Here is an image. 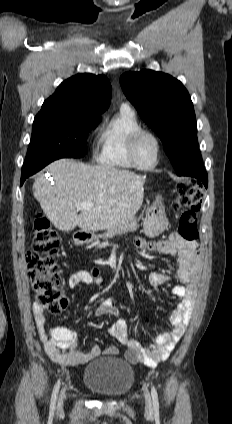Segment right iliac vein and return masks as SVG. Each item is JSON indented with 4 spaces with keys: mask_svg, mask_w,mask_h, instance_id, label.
<instances>
[{
    "mask_svg": "<svg viewBox=\"0 0 232 424\" xmlns=\"http://www.w3.org/2000/svg\"><path fill=\"white\" fill-rule=\"evenodd\" d=\"M66 395V389L63 388V390L61 391L60 397H59V402H58V409L60 410L63 406V401Z\"/></svg>",
    "mask_w": 232,
    "mask_h": 424,
    "instance_id": "63e3f726",
    "label": "right iliac vein"
}]
</instances>
